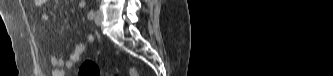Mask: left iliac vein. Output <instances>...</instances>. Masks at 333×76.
I'll return each mask as SVG.
<instances>
[{"mask_svg": "<svg viewBox=\"0 0 333 76\" xmlns=\"http://www.w3.org/2000/svg\"><path fill=\"white\" fill-rule=\"evenodd\" d=\"M94 21L97 25H101L103 21V14L101 11H96Z\"/></svg>", "mask_w": 333, "mask_h": 76, "instance_id": "left-iliac-vein-1", "label": "left iliac vein"}]
</instances>
